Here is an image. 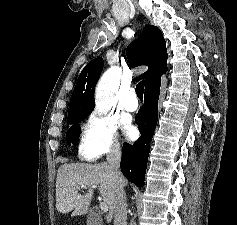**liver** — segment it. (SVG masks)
I'll use <instances>...</instances> for the list:
<instances>
[{"instance_id":"obj_1","label":"liver","mask_w":237,"mask_h":225,"mask_svg":"<svg viewBox=\"0 0 237 225\" xmlns=\"http://www.w3.org/2000/svg\"><path fill=\"white\" fill-rule=\"evenodd\" d=\"M83 185L88 189L85 195L78 193L79 187ZM95 188H98L103 202L108 206L107 222L110 223L116 203V186L107 163L61 165L56 180V209L62 214L72 211L71 216L85 215Z\"/></svg>"}]
</instances>
